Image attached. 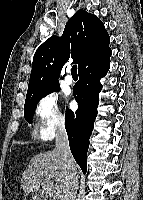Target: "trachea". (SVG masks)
I'll use <instances>...</instances> for the list:
<instances>
[{
	"mask_svg": "<svg viewBox=\"0 0 143 200\" xmlns=\"http://www.w3.org/2000/svg\"><path fill=\"white\" fill-rule=\"evenodd\" d=\"M71 74H72V76H77V66H76V65H74V66L72 67V69H71Z\"/></svg>",
	"mask_w": 143,
	"mask_h": 200,
	"instance_id": "trachea-1",
	"label": "trachea"
}]
</instances>
